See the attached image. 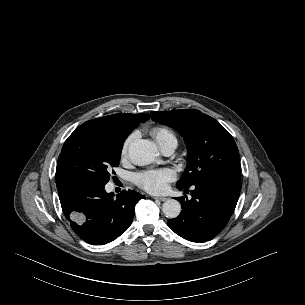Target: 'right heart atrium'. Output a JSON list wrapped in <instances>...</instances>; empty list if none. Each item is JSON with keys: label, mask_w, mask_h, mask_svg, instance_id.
Returning <instances> with one entry per match:
<instances>
[{"label": "right heart atrium", "mask_w": 305, "mask_h": 305, "mask_svg": "<svg viewBox=\"0 0 305 305\" xmlns=\"http://www.w3.org/2000/svg\"><path fill=\"white\" fill-rule=\"evenodd\" d=\"M132 139H133V136H130L123 143V146H122V149H121V156L123 158L127 157V155H128V151H129V147H130V144L132 142Z\"/></svg>", "instance_id": "1"}]
</instances>
